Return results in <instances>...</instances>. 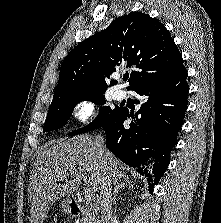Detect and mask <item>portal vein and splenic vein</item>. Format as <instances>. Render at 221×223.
<instances>
[{"instance_id": "1", "label": "portal vein and splenic vein", "mask_w": 221, "mask_h": 223, "mask_svg": "<svg viewBox=\"0 0 221 223\" xmlns=\"http://www.w3.org/2000/svg\"><path fill=\"white\" fill-rule=\"evenodd\" d=\"M73 177H74L75 181L78 180V178L75 175H73ZM85 198H86V200H89V201L94 199V192L91 188H88L85 190Z\"/></svg>"}]
</instances>
